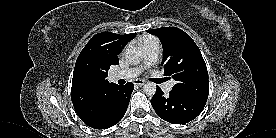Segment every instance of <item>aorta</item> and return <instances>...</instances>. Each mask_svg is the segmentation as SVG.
Listing matches in <instances>:
<instances>
[{
  "label": "aorta",
  "mask_w": 276,
  "mask_h": 138,
  "mask_svg": "<svg viewBox=\"0 0 276 138\" xmlns=\"http://www.w3.org/2000/svg\"><path fill=\"white\" fill-rule=\"evenodd\" d=\"M125 59L131 65L138 64L142 59V52L137 47H128L125 50ZM157 87L154 82H148L143 86V91L148 96H153L156 93Z\"/></svg>",
  "instance_id": "762f6f07"
}]
</instances>
